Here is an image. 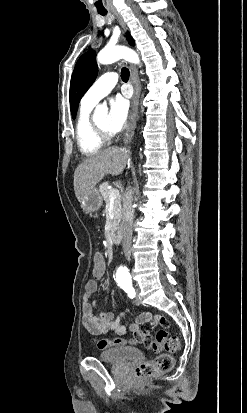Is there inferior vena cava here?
Segmentation results:
<instances>
[{
	"label": "inferior vena cava",
	"instance_id": "inferior-vena-cava-1",
	"mask_svg": "<svg viewBox=\"0 0 247 413\" xmlns=\"http://www.w3.org/2000/svg\"><path fill=\"white\" fill-rule=\"evenodd\" d=\"M122 202H123L122 223H121V229L123 233L122 247H123V253L126 259L130 261L131 243H132V225H133V219H134L133 192L130 186L126 188L122 196Z\"/></svg>",
	"mask_w": 247,
	"mask_h": 413
}]
</instances>
